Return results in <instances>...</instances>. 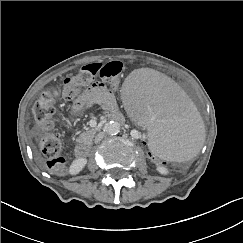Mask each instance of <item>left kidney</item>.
Here are the masks:
<instances>
[{
    "instance_id": "5707ae66",
    "label": "left kidney",
    "mask_w": 243,
    "mask_h": 243,
    "mask_svg": "<svg viewBox=\"0 0 243 243\" xmlns=\"http://www.w3.org/2000/svg\"><path fill=\"white\" fill-rule=\"evenodd\" d=\"M157 171L162 174V175H168L169 171L166 168H162V167H157Z\"/></svg>"
}]
</instances>
